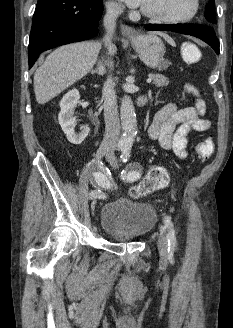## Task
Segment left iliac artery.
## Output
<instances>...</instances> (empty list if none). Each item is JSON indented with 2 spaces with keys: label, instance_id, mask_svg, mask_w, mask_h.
Segmentation results:
<instances>
[{
  "label": "left iliac artery",
  "instance_id": "44dca946",
  "mask_svg": "<svg viewBox=\"0 0 233 328\" xmlns=\"http://www.w3.org/2000/svg\"><path fill=\"white\" fill-rule=\"evenodd\" d=\"M120 149L122 152L120 159L122 162H126L130 157V147L124 146V147H121ZM139 177H140V174L137 171H128V172L122 171V173H121V178L128 182L136 181ZM163 220L165 223V228L167 230V239H168V245H169L168 251H169V249L174 250L177 245L174 225L169 216H165L163 218Z\"/></svg>",
  "mask_w": 233,
  "mask_h": 328
}]
</instances>
